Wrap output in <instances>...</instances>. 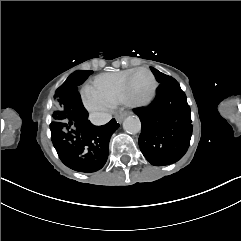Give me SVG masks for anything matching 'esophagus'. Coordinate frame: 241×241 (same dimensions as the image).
<instances>
[{
    "instance_id": "34e87169",
    "label": "esophagus",
    "mask_w": 241,
    "mask_h": 241,
    "mask_svg": "<svg viewBox=\"0 0 241 241\" xmlns=\"http://www.w3.org/2000/svg\"><path fill=\"white\" fill-rule=\"evenodd\" d=\"M129 114H130L129 112H124V113L116 116V121H117L118 123H121V122L123 121V119H124L126 116H128Z\"/></svg>"
}]
</instances>
